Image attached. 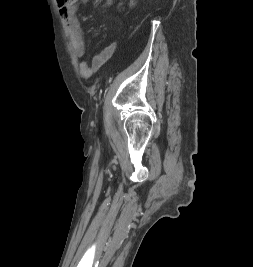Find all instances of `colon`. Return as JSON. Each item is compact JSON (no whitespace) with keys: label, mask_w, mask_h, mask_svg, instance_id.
<instances>
[{"label":"colon","mask_w":253,"mask_h":267,"mask_svg":"<svg viewBox=\"0 0 253 267\" xmlns=\"http://www.w3.org/2000/svg\"><path fill=\"white\" fill-rule=\"evenodd\" d=\"M77 2V0H58V4L61 7H69L74 5Z\"/></svg>","instance_id":"colon-1"}]
</instances>
